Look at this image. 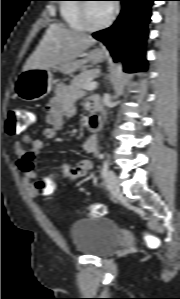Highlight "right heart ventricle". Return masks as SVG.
I'll return each mask as SVG.
<instances>
[{
  "mask_svg": "<svg viewBox=\"0 0 180 299\" xmlns=\"http://www.w3.org/2000/svg\"><path fill=\"white\" fill-rule=\"evenodd\" d=\"M64 1L65 2L60 7V12L66 25L74 30H84L79 19V4L75 3L78 0Z\"/></svg>",
  "mask_w": 180,
  "mask_h": 299,
  "instance_id": "1",
  "label": "right heart ventricle"
}]
</instances>
